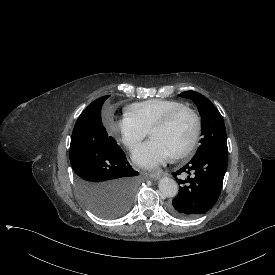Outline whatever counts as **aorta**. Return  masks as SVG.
<instances>
[{"mask_svg": "<svg viewBox=\"0 0 275 275\" xmlns=\"http://www.w3.org/2000/svg\"><path fill=\"white\" fill-rule=\"evenodd\" d=\"M158 188L160 193L166 197H173L178 192V185L176 181L166 176L159 179Z\"/></svg>", "mask_w": 275, "mask_h": 275, "instance_id": "obj_1", "label": "aorta"}]
</instances>
